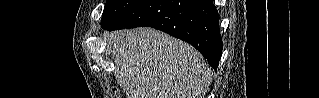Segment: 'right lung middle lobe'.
<instances>
[{
	"mask_svg": "<svg viewBox=\"0 0 319 98\" xmlns=\"http://www.w3.org/2000/svg\"><path fill=\"white\" fill-rule=\"evenodd\" d=\"M148 0H107L102 14L101 27L110 26Z\"/></svg>",
	"mask_w": 319,
	"mask_h": 98,
	"instance_id": "right-lung-middle-lobe-1",
	"label": "right lung middle lobe"
}]
</instances>
